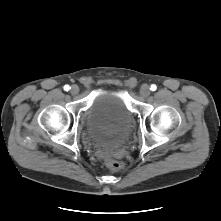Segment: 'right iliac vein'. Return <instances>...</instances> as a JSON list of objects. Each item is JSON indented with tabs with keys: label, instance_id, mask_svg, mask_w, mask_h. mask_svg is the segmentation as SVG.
<instances>
[{
	"label": "right iliac vein",
	"instance_id": "right-iliac-vein-1",
	"mask_svg": "<svg viewBox=\"0 0 221 221\" xmlns=\"http://www.w3.org/2000/svg\"><path fill=\"white\" fill-rule=\"evenodd\" d=\"M71 93H72L73 95L78 94V93H79V87H78L77 85H73V86L71 87Z\"/></svg>",
	"mask_w": 221,
	"mask_h": 221
}]
</instances>
